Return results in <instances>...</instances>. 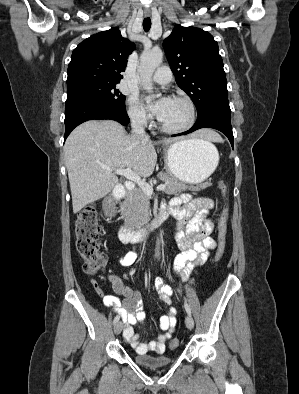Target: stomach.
<instances>
[{"mask_svg":"<svg viewBox=\"0 0 299 394\" xmlns=\"http://www.w3.org/2000/svg\"><path fill=\"white\" fill-rule=\"evenodd\" d=\"M164 154L167 173L189 184L202 183L215 171L219 162L216 147H210L208 141L198 138L172 143Z\"/></svg>","mask_w":299,"mask_h":394,"instance_id":"1","label":"stomach"}]
</instances>
